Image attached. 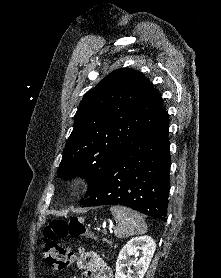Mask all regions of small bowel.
Listing matches in <instances>:
<instances>
[{"mask_svg": "<svg viewBox=\"0 0 221 278\" xmlns=\"http://www.w3.org/2000/svg\"><path fill=\"white\" fill-rule=\"evenodd\" d=\"M78 266L83 270L82 278H113L111 268L96 252H81Z\"/></svg>", "mask_w": 221, "mask_h": 278, "instance_id": "c3829d8e", "label": "small bowel"}]
</instances>
